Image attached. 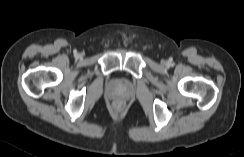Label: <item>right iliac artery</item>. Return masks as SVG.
<instances>
[{
	"label": "right iliac artery",
	"mask_w": 244,
	"mask_h": 157,
	"mask_svg": "<svg viewBox=\"0 0 244 157\" xmlns=\"http://www.w3.org/2000/svg\"><path fill=\"white\" fill-rule=\"evenodd\" d=\"M74 55H75V56L77 55V51H76V50H74Z\"/></svg>",
	"instance_id": "82829eb1"
}]
</instances>
